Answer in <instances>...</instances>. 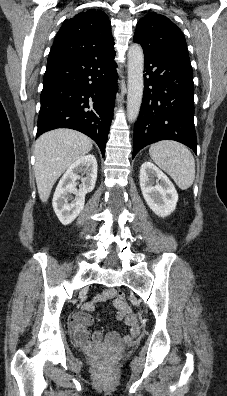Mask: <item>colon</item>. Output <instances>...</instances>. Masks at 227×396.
Segmentation results:
<instances>
[{"mask_svg":"<svg viewBox=\"0 0 227 396\" xmlns=\"http://www.w3.org/2000/svg\"><path fill=\"white\" fill-rule=\"evenodd\" d=\"M117 297L122 300L124 299V294L122 292H118Z\"/></svg>","mask_w":227,"mask_h":396,"instance_id":"5ec220e1","label":"colon"}]
</instances>
